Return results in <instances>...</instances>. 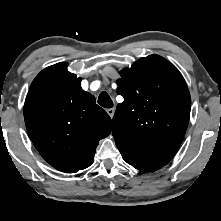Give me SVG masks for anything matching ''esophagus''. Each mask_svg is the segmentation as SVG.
<instances>
[{"instance_id":"1","label":"esophagus","mask_w":221,"mask_h":221,"mask_svg":"<svg viewBox=\"0 0 221 221\" xmlns=\"http://www.w3.org/2000/svg\"><path fill=\"white\" fill-rule=\"evenodd\" d=\"M106 112L108 113V115L112 118L114 116V112L115 110L113 108L107 109Z\"/></svg>"}]
</instances>
